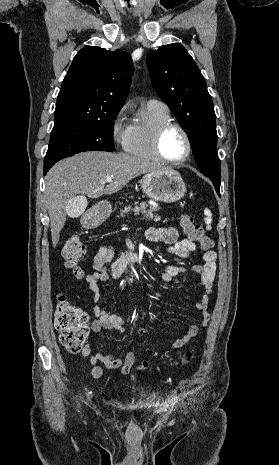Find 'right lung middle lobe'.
Here are the masks:
<instances>
[{"instance_id":"right-lung-middle-lobe-1","label":"right lung middle lobe","mask_w":279,"mask_h":465,"mask_svg":"<svg viewBox=\"0 0 279 465\" xmlns=\"http://www.w3.org/2000/svg\"><path fill=\"white\" fill-rule=\"evenodd\" d=\"M119 111H110L100 118L54 125L44 167L83 151H114L113 127Z\"/></svg>"}]
</instances>
